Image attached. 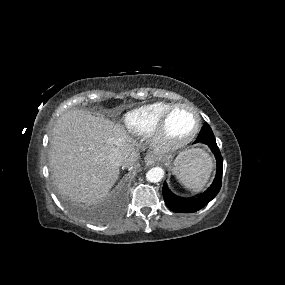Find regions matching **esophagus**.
Instances as JSON below:
<instances>
[{
    "label": "esophagus",
    "instance_id": "esophagus-1",
    "mask_svg": "<svg viewBox=\"0 0 285 285\" xmlns=\"http://www.w3.org/2000/svg\"><path fill=\"white\" fill-rule=\"evenodd\" d=\"M144 161L146 165H152L156 162V158L154 157V155L149 153L144 157Z\"/></svg>",
    "mask_w": 285,
    "mask_h": 285
}]
</instances>
